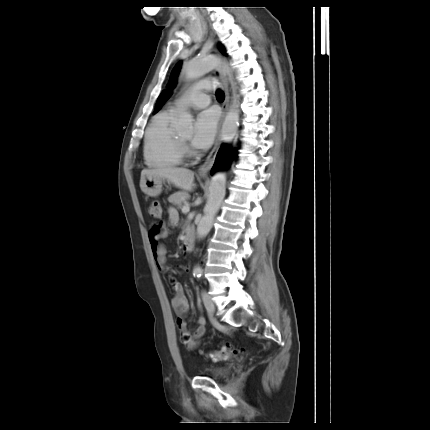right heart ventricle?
Instances as JSON below:
<instances>
[{"instance_id":"1","label":"right heart ventricle","mask_w":430,"mask_h":430,"mask_svg":"<svg viewBox=\"0 0 430 430\" xmlns=\"http://www.w3.org/2000/svg\"><path fill=\"white\" fill-rule=\"evenodd\" d=\"M174 110L156 114L148 125L144 135L143 156L145 164L153 168L176 167L182 162L173 121Z\"/></svg>"}]
</instances>
